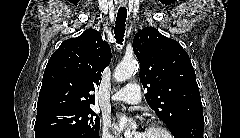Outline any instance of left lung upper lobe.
Wrapping results in <instances>:
<instances>
[{"label":"left lung upper lobe","mask_w":240,"mask_h":138,"mask_svg":"<svg viewBox=\"0 0 240 138\" xmlns=\"http://www.w3.org/2000/svg\"><path fill=\"white\" fill-rule=\"evenodd\" d=\"M133 50L140 62L145 99L172 134L182 125L203 119L196 75L187 52L153 27L139 30Z\"/></svg>","instance_id":"obj_1"}]
</instances>
